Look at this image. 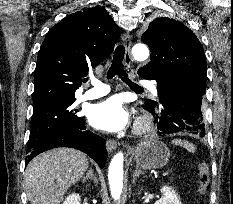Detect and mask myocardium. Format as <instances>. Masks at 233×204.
Returning a JSON list of instances; mask_svg holds the SVG:
<instances>
[{"label": "myocardium", "instance_id": "1", "mask_svg": "<svg viewBox=\"0 0 233 204\" xmlns=\"http://www.w3.org/2000/svg\"><path fill=\"white\" fill-rule=\"evenodd\" d=\"M150 128V121L146 117H140L137 121L135 132L137 134L145 133Z\"/></svg>", "mask_w": 233, "mask_h": 204}]
</instances>
